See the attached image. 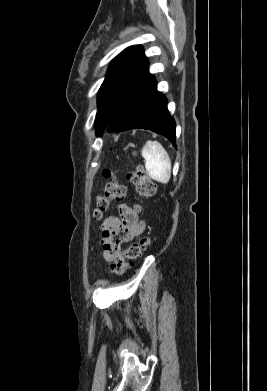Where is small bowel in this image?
<instances>
[{
	"instance_id": "1",
	"label": "small bowel",
	"mask_w": 267,
	"mask_h": 391,
	"mask_svg": "<svg viewBox=\"0 0 267 391\" xmlns=\"http://www.w3.org/2000/svg\"><path fill=\"white\" fill-rule=\"evenodd\" d=\"M121 219L108 218L101 226V252L105 260L111 261L121 250V245L132 241L145 229L144 221L139 219L140 206L119 207Z\"/></svg>"
}]
</instances>
